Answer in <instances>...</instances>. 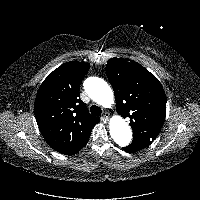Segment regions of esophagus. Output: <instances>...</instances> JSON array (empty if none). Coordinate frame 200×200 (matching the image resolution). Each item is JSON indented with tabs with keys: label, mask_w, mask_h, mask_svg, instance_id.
Returning a JSON list of instances; mask_svg holds the SVG:
<instances>
[{
	"label": "esophagus",
	"mask_w": 200,
	"mask_h": 200,
	"mask_svg": "<svg viewBox=\"0 0 200 200\" xmlns=\"http://www.w3.org/2000/svg\"><path fill=\"white\" fill-rule=\"evenodd\" d=\"M104 120H108L109 119V114L107 112H105L103 114V117H102Z\"/></svg>",
	"instance_id": "34e87169"
}]
</instances>
